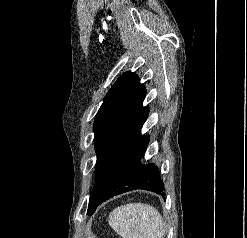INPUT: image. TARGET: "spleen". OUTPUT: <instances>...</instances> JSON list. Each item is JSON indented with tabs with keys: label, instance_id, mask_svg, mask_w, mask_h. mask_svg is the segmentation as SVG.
Returning a JSON list of instances; mask_svg holds the SVG:
<instances>
[{
	"label": "spleen",
	"instance_id": "obj_1",
	"mask_svg": "<svg viewBox=\"0 0 247 238\" xmlns=\"http://www.w3.org/2000/svg\"><path fill=\"white\" fill-rule=\"evenodd\" d=\"M109 225L122 238H162L163 218L156 208L144 203H128L115 208Z\"/></svg>",
	"mask_w": 247,
	"mask_h": 238
}]
</instances>
